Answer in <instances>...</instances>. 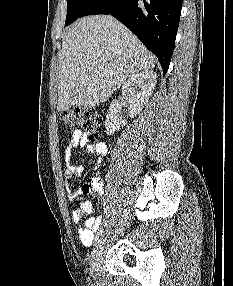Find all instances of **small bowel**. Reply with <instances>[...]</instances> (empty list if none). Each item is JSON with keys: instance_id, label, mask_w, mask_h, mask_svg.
Listing matches in <instances>:
<instances>
[{"instance_id": "small-bowel-1", "label": "small bowel", "mask_w": 233, "mask_h": 286, "mask_svg": "<svg viewBox=\"0 0 233 286\" xmlns=\"http://www.w3.org/2000/svg\"><path fill=\"white\" fill-rule=\"evenodd\" d=\"M76 148H85L89 154L96 155L97 159L94 163L95 169H97L102 164L108 152L107 146L104 142L91 143L87 134L83 133L81 130L74 131L64 151V157L66 162L65 176L67 179H70L75 176H80L84 170L83 165L71 162L73 152ZM66 189L68 192V199L70 201H74L82 194L88 193L85 192L83 188L73 190L69 181L66 182ZM92 194L96 196H101L103 194V187L98 192ZM92 210L93 205L90 202H83L78 208L72 211L71 220L74 223H78L84 215L91 213ZM101 220V216H90L86 218L83 225H80L78 227V238L83 245L89 246L93 242L95 232L99 228Z\"/></svg>"}]
</instances>
